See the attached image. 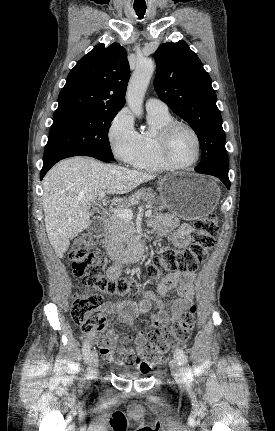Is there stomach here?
I'll return each mask as SVG.
<instances>
[{
    "label": "stomach",
    "instance_id": "stomach-1",
    "mask_svg": "<svg viewBox=\"0 0 275 431\" xmlns=\"http://www.w3.org/2000/svg\"><path fill=\"white\" fill-rule=\"evenodd\" d=\"M165 207L184 220H197L211 214L220 191L208 177L198 174H171L158 187Z\"/></svg>",
    "mask_w": 275,
    "mask_h": 431
}]
</instances>
